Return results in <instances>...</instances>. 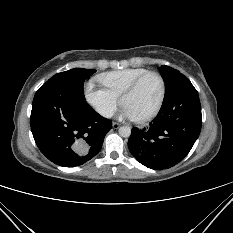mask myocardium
I'll return each instance as SVG.
<instances>
[{
	"instance_id": "myocardium-1",
	"label": "myocardium",
	"mask_w": 233,
	"mask_h": 233,
	"mask_svg": "<svg viewBox=\"0 0 233 233\" xmlns=\"http://www.w3.org/2000/svg\"><path fill=\"white\" fill-rule=\"evenodd\" d=\"M150 76H156L160 82H161V96H160V99L158 101V104L156 105V107L154 108V110H152L149 114L143 116V117H139V118H134V120L136 122H139V123H142V122H147V121H150L152 120L153 118H155L158 113L160 112L163 104H164V101H165V97H166V82H165V79L164 77L156 72V71H148L146 73H144L143 75H141L140 77H138L130 86H128L124 91L123 93L120 95V103L122 104L123 102V99L134 93L139 87L140 85L143 83V81L145 79H147L148 77Z\"/></svg>"
}]
</instances>
